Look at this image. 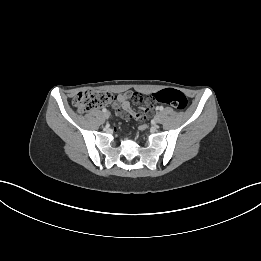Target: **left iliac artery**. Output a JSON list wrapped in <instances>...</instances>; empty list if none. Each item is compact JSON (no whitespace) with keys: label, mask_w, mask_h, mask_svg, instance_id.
<instances>
[{"label":"left iliac artery","mask_w":261,"mask_h":261,"mask_svg":"<svg viewBox=\"0 0 261 261\" xmlns=\"http://www.w3.org/2000/svg\"><path fill=\"white\" fill-rule=\"evenodd\" d=\"M157 110L162 111V110H163V106H158V107H157Z\"/></svg>","instance_id":"left-iliac-artery-1"}]
</instances>
